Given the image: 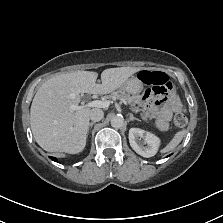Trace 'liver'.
<instances>
[{"instance_id":"6515ba94","label":"liver","mask_w":223,"mask_h":223,"mask_svg":"<svg viewBox=\"0 0 223 223\" xmlns=\"http://www.w3.org/2000/svg\"><path fill=\"white\" fill-rule=\"evenodd\" d=\"M140 68L120 67L97 73L77 71L61 74L45 82L31 106V128L37 143L46 151L76 154L86 143L90 108L80 106V93L105 94L118 88ZM78 106L74 111L72 106Z\"/></svg>"}]
</instances>
